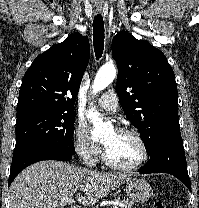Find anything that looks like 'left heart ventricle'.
Returning <instances> with one entry per match:
<instances>
[{
  "mask_svg": "<svg viewBox=\"0 0 199 208\" xmlns=\"http://www.w3.org/2000/svg\"><path fill=\"white\" fill-rule=\"evenodd\" d=\"M102 143L109 156L119 164L133 165L141 158V147L130 135L110 131L103 138Z\"/></svg>",
  "mask_w": 199,
  "mask_h": 208,
  "instance_id": "1",
  "label": "left heart ventricle"
}]
</instances>
